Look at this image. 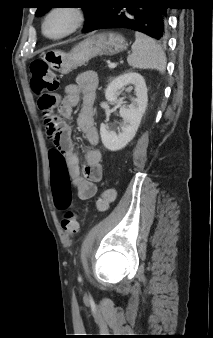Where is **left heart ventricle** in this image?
I'll list each match as a JSON object with an SVG mask.
<instances>
[{
    "mask_svg": "<svg viewBox=\"0 0 213 338\" xmlns=\"http://www.w3.org/2000/svg\"><path fill=\"white\" fill-rule=\"evenodd\" d=\"M70 25V18L66 13L54 14L48 23L47 30L50 34L56 35L65 31Z\"/></svg>",
    "mask_w": 213,
    "mask_h": 338,
    "instance_id": "left-heart-ventricle-1",
    "label": "left heart ventricle"
}]
</instances>
